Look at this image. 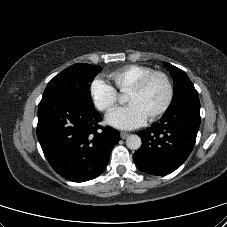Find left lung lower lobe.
I'll list each match as a JSON object with an SVG mask.
<instances>
[{
    "mask_svg": "<svg viewBox=\"0 0 227 227\" xmlns=\"http://www.w3.org/2000/svg\"><path fill=\"white\" fill-rule=\"evenodd\" d=\"M199 126V97L175 104L166 110L160 122L136 133L143 144L133 155L135 165L150 175L175 171L191 153Z\"/></svg>",
    "mask_w": 227,
    "mask_h": 227,
    "instance_id": "1",
    "label": "left lung lower lobe"
}]
</instances>
